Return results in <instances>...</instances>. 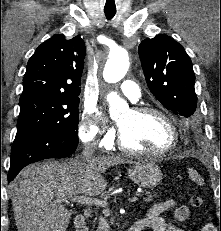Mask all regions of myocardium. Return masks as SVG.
I'll return each mask as SVG.
<instances>
[{
	"instance_id": "f54148a6",
	"label": "myocardium",
	"mask_w": 221,
	"mask_h": 231,
	"mask_svg": "<svg viewBox=\"0 0 221 231\" xmlns=\"http://www.w3.org/2000/svg\"><path fill=\"white\" fill-rule=\"evenodd\" d=\"M131 110L133 113L137 115L155 114L165 119L171 127L173 140L170 146H168L167 148L161 151L139 150L128 146L123 139L121 130H119L117 144L122 151L132 155H142V156L159 158L170 154L178 147L180 141L179 129L174 117L170 113H168L167 111L161 108L146 106V105L135 106Z\"/></svg>"
}]
</instances>
